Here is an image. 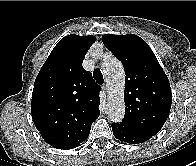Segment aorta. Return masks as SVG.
<instances>
[{
	"label": "aorta",
	"mask_w": 196,
	"mask_h": 166,
	"mask_svg": "<svg viewBox=\"0 0 196 166\" xmlns=\"http://www.w3.org/2000/svg\"><path fill=\"white\" fill-rule=\"evenodd\" d=\"M102 69L109 93L106 113L112 122L117 123L122 121L125 115V72L121 62L113 56L104 60Z\"/></svg>",
	"instance_id": "aorta-1"
}]
</instances>
